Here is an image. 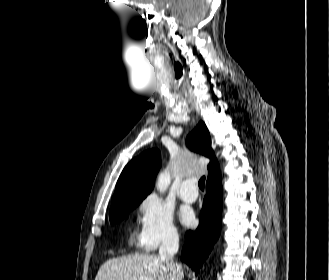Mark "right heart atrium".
<instances>
[{"label":"right heart atrium","mask_w":329,"mask_h":280,"mask_svg":"<svg viewBox=\"0 0 329 280\" xmlns=\"http://www.w3.org/2000/svg\"><path fill=\"white\" fill-rule=\"evenodd\" d=\"M138 212V242L145 250L153 251L163 244L177 241L179 234L172 210L160 197L155 194L146 196L139 203Z\"/></svg>","instance_id":"1"}]
</instances>
